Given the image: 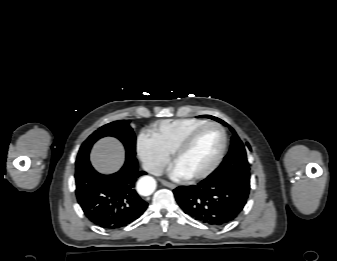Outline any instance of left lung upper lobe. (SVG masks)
<instances>
[{"instance_id": "left-lung-upper-lobe-1", "label": "left lung upper lobe", "mask_w": 337, "mask_h": 261, "mask_svg": "<svg viewBox=\"0 0 337 261\" xmlns=\"http://www.w3.org/2000/svg\"><path fill=\"white\" fill-rule=\"evenodd\" d=\"M211 118L228 126L227 123L218 118ZM231 131L233 132V136L231 139L230 151L220 166L212 174H210L208 178L225 179L237 185L243 191L249 194L250 167L246 156V150L244 144L232 128Z\"/></svg>"}]
</instances>
